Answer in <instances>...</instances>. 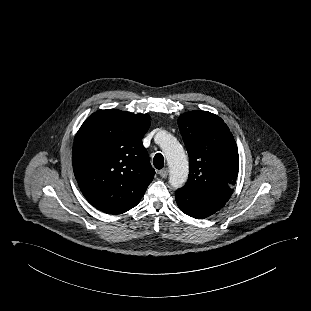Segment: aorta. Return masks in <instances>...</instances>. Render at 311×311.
Here are the masks:
<instances>
[{"label":"aorta","instance_id":"762f6f07","mask_svg":"<svg viewBox=\"0 0 311 311\" xmlns=\"http://www.w3.org/2000/svg\"><path fill=\"white\" fill-rule=\"evenodd\" d=\"M155 139L160 144L169 165V184L174 189L181 188L187 181L189 173L184 149L177 139L166 131L158 132Z\"/></svg>","mask_w":311,"mask_h":311}]
</instances>
